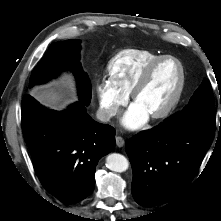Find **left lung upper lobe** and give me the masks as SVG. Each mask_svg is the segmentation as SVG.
Returning a JSON list of instances; mask_svg holds the SVG:
<instances>
[{"label": "left lung upper lobe", "mask_w": 221, "mask_h": 221, "mask_svg": "<svg viewBox=\"0 0 221 221\" xmlns=\"http://www.w3.org/2000/svg\"><path fill=\"white\" fill-rule=\"evenodd\" d=\"M172 128L215 129L214 99L207 79L195 92L189 104L179 113L165 120Z\"/></svg>", "instance_id": "left-lung-upper-lobe-1"}]
</instances>
